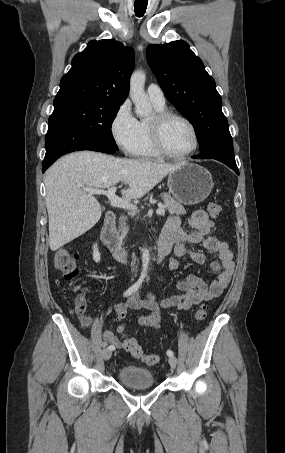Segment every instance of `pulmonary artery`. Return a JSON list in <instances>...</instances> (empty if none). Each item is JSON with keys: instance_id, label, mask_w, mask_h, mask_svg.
<instances>
[{"instance_id": "pulmonary-artery-1", "label": "pulmonary artery", "mask_w": 285, "mask_h": 453, "mask_svg": "<svg viewBox=\"0 0 285 453\" xmlns=\"http://www.w3.org/2000/svg\"><path fill=\"white\" fill-rule=\"evenodd\" d=\"M147 96L153 104L157 106H165L164 93L157 84L152 83L147 87Z\"/></svg>"}]
</instances>
